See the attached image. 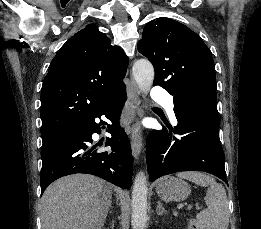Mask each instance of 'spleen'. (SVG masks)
<instances>
[{"instance_id":"1","label":"spleen","mask_w":261,"mask_h":229,"mask_svg":"<svg viewBox=\"0 0 261 229\" xmlns=\"http://www.w3.org/2000/svg\"><path fill=\"white\" fill-rule=\"evenodd\" d=\"M177 177L187 179L200 187H209L205 197L208 209L197 215L200 229H228L229 209L224 187L216 183L213 177L204 175V173H196V171L178 173Z\"/></svg>"}]
</instances>
